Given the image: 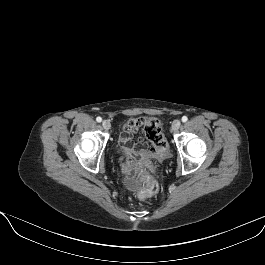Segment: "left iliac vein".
I'll use <instances>...</instances> for the list:
<instances>
[{
    "mask_svg": "<svg viewBox=\"0 0 265 265\" xmlns=\"http://www.w3.org/2000/svg\"><path fill=\"white\" fill-rule=\"evenodd\" d=\"M181 122L180 120L176 119L172 123V131H177L180 128Z\"/></svg>",
    "mask_w": 265,
    "mask_h": 265,
    "instance_id": "4c4485c4",
    "label": "left iliac vein"
}]
</instances>
